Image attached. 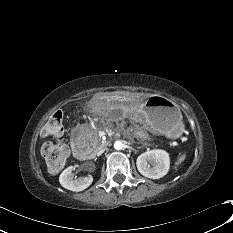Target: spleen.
Segmentation results:
<instances>
[{
  "label": "spleen",
  "instance_id": "obj_1",
  "mask_svg": "<svg viewBox=\"0 0 233 233\" xmlns=\"http://www.w3.org/2000/svg\"><path fill=\"white\" fill-rule=\"evenodd\" d=\"M185 158H186V153H184L177 159V161L175 162V166L180 165L185 160Z\"/></svg>",
  "mask_w": 233,
  "mask_h": 233
}]
</instances>
